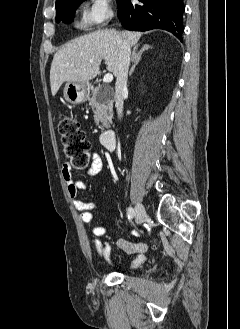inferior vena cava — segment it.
<instances>
[{"label": "inferior vena cava", "mask_w": 240, "mask_h": 329, "mask_svg": "<svg viewBox=\"0 0 240 329\" xmlns=\"http://www.w3.org/2000/svg\"><path fill=\"white\" fill-rule=\"evenodd\" d=\"M119 43V65L118 72L116 74L115 83V107L117 109L118 117H122L124 95L127 94V79L128 69L130 65L131 49L128 41L123 37L118 38Z\"/></svg>", "instance_id": "602c4592"}]
</instances>
